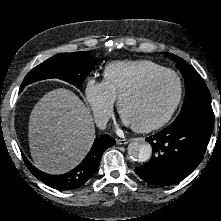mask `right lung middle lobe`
I'll list each match as a JSON object with an SVG mask.
<instances>
[{
  "instance_id": "right-lung-middle-lobe-1",
  "label": "right lung middle lobe",
  "mask_w": 221,
  "mask_h": 221,
  "mask_svg": "<svg viewBox=\"0 0 221 221\" xmlns=\"http://www.w3.org/2000/svg\"><path fill=\"white\" fill-rule=\"evenodd\" d=\"M98 61V58L86 52L58 54L44 61L26 75L20 92L26 85L48 78H58L80 88Z\"/></svg>"
}]
</instances>
